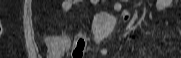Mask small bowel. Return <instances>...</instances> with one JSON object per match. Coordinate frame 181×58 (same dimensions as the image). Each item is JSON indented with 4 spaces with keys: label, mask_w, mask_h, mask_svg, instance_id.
I'll list each match as a JSON object with an SVG mask.
<instances>
[{
    "label": "small bowel",
    "mask_w": 181,
    "mask_h": 58,
    "mask_svg": "<svg viewBox=\"0 0 181 58\" xmlns=\"http://www.w3.org/2000/svg\"><path fill=\"white\" fill-rule=\"evenodd\" d=\"M79 2V0H65L62 3V9L65 12L71 11L75 8V6L77 5V3ZM91 2L93 4H96L98 1L97 0H91ZM171 0H158L157 1V10L160 13H164L166 12L168 6L170 5ZM112 9L114 12H121L123 17L125 19H128V13L124 10H122L121 4L120 3H113L112 5ZM58 38V42H59V46L57 47V50L60 52H63L65 50H67L69 48V39L67 37H56ZM76 38H83L85 39V37L83 35H77ZM75 38V39H76ZM100 53L102 55H106L108 53V49L107 48H101Z\"/></svg>",
    "instance_id": "c3829d8e"
}]
</instances>
